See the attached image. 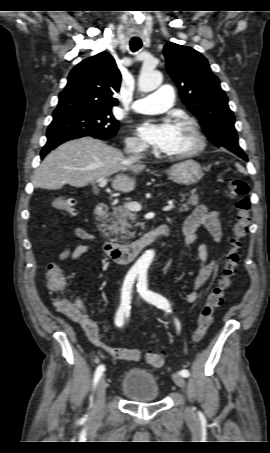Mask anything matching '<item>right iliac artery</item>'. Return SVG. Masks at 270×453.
<instances>
[{"mask_svg":"<svg viewBox=\"0 0 270 453\" xmlns=\"http://www.w3.org/2000/svg\"><path fill=\"white\" fill-rule=\"evenodd\" d=\"M137 274H138L137 272H129L124 280L121 293V304L115 317V324L118 327H121L123 325L124 315L128 314L130 311L131 292ZM104 370H105L104 365H99L97 367L94 375V388L96 387Z\"/></svg>","mask_w":270,"mask_h":453,"instance_id":"obj_1","label":"right iliac artery"}]
</instances>
